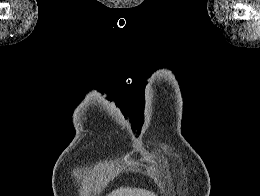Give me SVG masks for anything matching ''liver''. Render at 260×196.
<instances>
[{
  "mask_svg": "<svg viewBox=\"0 0 260 196\" xmlns=\"http://www.w3.org/2000/svg\"><path fill=\"white\" fill-rule=\"evenodd\" d=\"M109 196H155V194L148 190H139V188H118V190H113Z\"/></svg>",
  "mask_w": 260,
  "mask_h": 196,
  "instance_id": "1",
  "label": "liver"
}]
</instances>
